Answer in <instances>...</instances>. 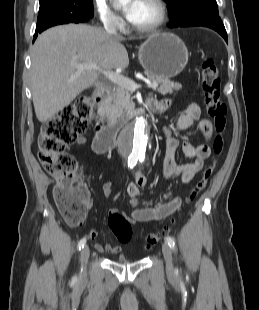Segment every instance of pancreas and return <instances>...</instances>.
Segmentation results:
<instances>
[{"mask_svg":"<svg viewBox=\"0 0 259 310\" xmlns=\"http://www.w3.org/2000/svg\"><path fill=\"white\" fill-rule=\"evenodd\" d=\"M147 77L152 82L160 84L157 92L162 95L172 94L179 91L182 86L179 83L170 81L162 77H154L147 74ZM134 108V103L131 99L130 90L124 87H115V90L108 97L106 101V117L109 123H116L118 121H125L130 117V113Z\"/></svg>","mask_w":259,"mask_h":310,"instance_id":"cf45deb5","label":"pancreas"}]
</instances>
